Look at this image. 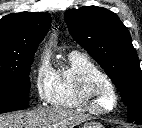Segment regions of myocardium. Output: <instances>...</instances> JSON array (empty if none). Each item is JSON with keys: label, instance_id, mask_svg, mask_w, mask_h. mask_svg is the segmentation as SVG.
<instances>
[{"label": "myocardium", "instance_id": "1", "mask_svg": "<svg viewBox=\"0 0 142 128\" xmlns=\"http://www.w3.org/2000/svg\"><path fill=\"white\" fill-rule=\"evenodd\" d=\"M107 91L111 95L112 103L109 107L99 104L98 95ZM80 101L84 108L96 114H109L118 105V93L111 80L106 76H91L85 80L80 91Z\"/></svg>", "mask_w": 142, "mask_h": 128}]
</instances>
